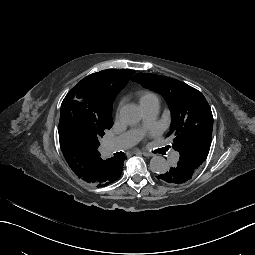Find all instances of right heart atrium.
Wrapping results in <instances>:
<instances>
[{
  "label": "right heart atrium",
  "mask_w": 255,
  "mask_h": 255,
  "mask_svg": "<svg viewBox=\"0 0 255 255\" xmlns=\"http://www.w3.org/2000/svg\"><path fill=\"white\" fill-rule=\"evenodd\" d=\"M123 104H124V101H121V102L119 103L118 111H120V109L122 108Z\"/></svg>",
  "instance_id": "1"
}]
</instances>
